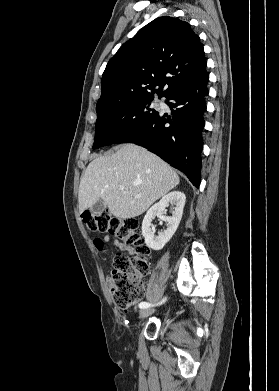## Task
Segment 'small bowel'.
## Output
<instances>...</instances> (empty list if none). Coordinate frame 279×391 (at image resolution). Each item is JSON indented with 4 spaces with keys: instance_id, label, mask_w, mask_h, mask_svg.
Instances as JSON below:
<instances>
[{
    "instance_id": "obj_1",
    "label": "small bowel",
    "mask_w": 279,
    "mask_h": 391,
    "mask_svg": "<svg viewBox=\"0 0 279 391\" xmlns=\"http://www.w3.org/2000/svg\"><path fill=\"white\" fill-rule=\"evenodd\" d=\"M104 240H105V242H108V243H109V242L112 241V238H111L110 236H106ZM113 244H114V246H115L118 250H120V251H122V252H126V253H128V254H134V253H135V250H134L133 247L128 246V245H125V244H123V243H121V242H119V241L114 240V241H113Z\"/></svg>"
}]
</instances>
